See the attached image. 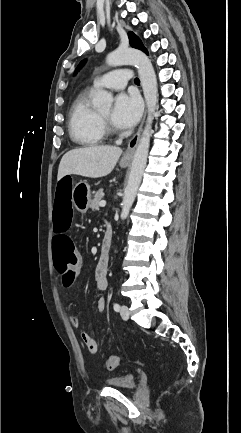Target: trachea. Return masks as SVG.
Segmentation results:
<instances>
[{"label": "trachea", "mask_w": 241, "mask_h": 433, "mask_svg": "<svg viewBox=\"0 0 241 433\" xmlns=\"http://www.w3.org/2000/svg\"><path fill=\"white\" fill-rule=\"evenodd\" d=\"M134 82H135L136 84H139V83H140V80H139L138 78H135Z\"/></svg>", "instance_id": "obj_1"}]
</instances>
